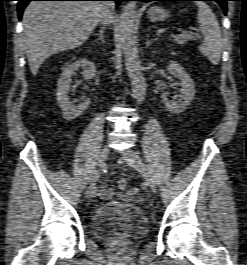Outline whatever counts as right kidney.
<instances>
[{
  "label": "right kidney",
  "mask_w": 247,
  "mask_h": 265,
  "mask_svg": "<svg viewBox=\"0 0 247 265\" xmlns=\"http://www.w3.org/2000/svg\"><path fill=\"white\" fill-rule=\"evenodd\" d=\"M82 68V75L85 79H92L95 76L96 68L93 62L88 59H79L65 67L57 83V101L62 110L63 117L66 120H72L80 116L90 105V99L87 98L80 104L75 105L69 100L68 92L70 90L71 77L75 71Z\"/></svg>",
  "instance_id": "1"
}]
</instances>
